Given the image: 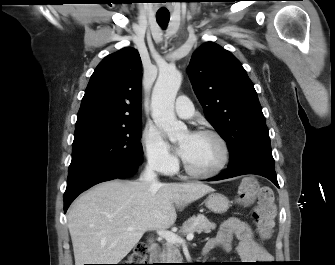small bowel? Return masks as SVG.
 <instances>
[{"label": "small bowel", "mask_w": 335, "mask_h": 265, "mask_svg": "<svg viewBox=\"0 0 335 265\" xmlns=\"http://www.w3.org/2000/svg\"><path fill=\"white\" fill-rule=\"evenodd\" d=\"M234 240L237 241L235 246L233 245ZM215 248H221L226 252L234 248L240 258L248 263L271 260V255L256 239L250 225L237 218L224 221L217 236L209 240L205 246L207 252Z\"/></svg>", "instance_id": "c3829d8e"}]
</instances>
